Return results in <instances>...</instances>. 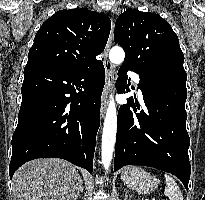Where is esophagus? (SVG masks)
<instances>
[{"label": "esophagus", "mask_w": 205, "mask_h": 200, "mask_svg": "<svg viewBox=\"0 0 205 200\" xmlns=\"http://www.w3.org/2000/svg\"><path fill=\"white\" fill-rule=\"evenodd\" d=\"M113 36H114V21H113V18H111V30H110V35L107 41V45L104 50V60H103V64L105 67V73H106V80H105V85H104V89H103V93L101 97V116L102 118L104 117V114H105L109 91L111 89L112 82L114 79L113 67L108 59L109 51H110L112 41H113Z\"/></svg>", "instance_id": "esophagus-1"}]
</instances>
